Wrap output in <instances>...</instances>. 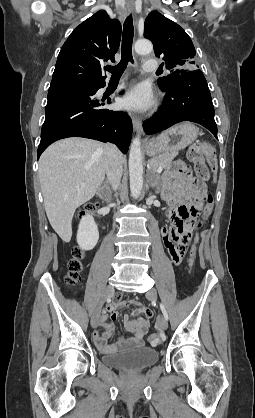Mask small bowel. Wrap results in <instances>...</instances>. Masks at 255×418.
<instances>
[{
  "label": "small bowel",
  "instance_id": "obj_1",
  "mask_svg": "<svg viewBox=\"0 0 255 418\" xmlns=\"http://www.w3.org/2000/svg\"><path fill=\"white\" fill-rule=\"evenodd\" d=\"M206 195L205 185L194 177L183 163L177 162L165 176L163 197L168 202L167 216L172 222L170 227L161 230L167 256L177 268L182 266L187 255V249L192 245L191 239L198 234L196 228H174L180 221L189 216L190 212L200 207ZM137 305L136 314H143L144 318L133 319L124 315L125 329L132 334L131 338H120L115 344H108L107 338L114 331V326L107 324V320L115 321L118 318V308ZM153 312L141 304L131 301L128 303L116 302L108 306L106 314L100 319L104 331L96 330L93 340L97 348L104 353H114L134 346H141L144 335L149 329V321Z\"/></svg>",
  "mask_w": 255,
  "mask_h": 418
}]
</instances>
